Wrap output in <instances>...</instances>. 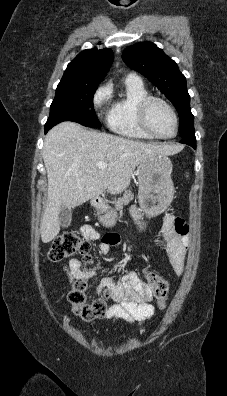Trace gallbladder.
I'll return each instance as SVG.
<instances>
[{
	"label": "gallbladder",
	"instance_id": "obj_1",
	"mask_svg": "<svg viewBox=\"0 0 227 396\" xmlns=\"http://www.w3.org/2000/svg\"><path fill=\"white\" fill-rule=\"evenodd\" d=\"M72 220V212L70 208L63 207L59 211L60 225L64 228L68 227Z\"/></svg>",
	"mask_w": 227,
	"mask_h": 396
}]
</instances>
